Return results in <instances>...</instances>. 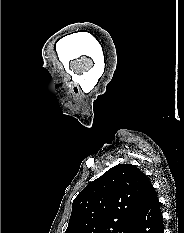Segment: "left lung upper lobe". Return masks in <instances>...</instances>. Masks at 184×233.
I'll return each instance as SVG.
<instances>
[{"mask_svg": "<svg viewBox=\"0 0 184 233\" xmlns=\"http://www.w3.org/2000/svg\"><path fill=\"white\" fill-rule=\"evenodd\" d=\"M154 191L136 166L118 164L74 199L65 233H131Z\"/></svg>", "mask_w": 184, "mask_h": 233, "instance_id": "1", "label": "left lung upper lobe"}]
</instances>
